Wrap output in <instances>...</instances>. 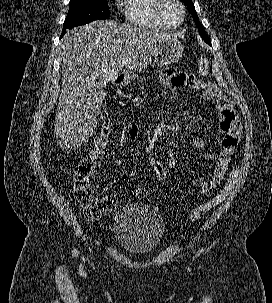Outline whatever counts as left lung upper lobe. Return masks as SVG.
Masks as SVG:
<instances>
[{"mask_svg":"<svg viewBox=\"0 0 272 303\" xmlns=\"http://www.w3.org/2000/svg\"><path fill=\"white\" fill-rule=\"evenodd\" d=\"M182 1L187 5V9H188L189 13H191V15L193 16V20L195 21L196 26L198 27L199 33H200L201 37L203 38V40L206 43L211 44L207 34L205 33L201 23L199 22V18L195 11V7H194L192 0H182Z\"/></svg>","mask_w":272,"mask_h":303,"instance_id":"1","label":"left lung upper lobe"}]
</instances>
